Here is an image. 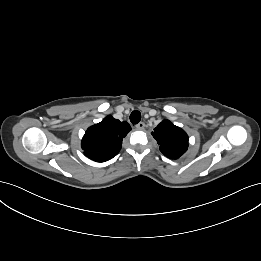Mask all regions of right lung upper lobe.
<instances>
[{"label":"right lung upper lobe","instance_id":"cb5924a9","mask_svg":"<svg viewBox=\"0 0 261 261\" xmlns=\"http://www.w3.org/2000/svg\"><path fill=\"white\" fill-rule=\"evenodd\" d=\"M130 130L127 122H120L109 115L87 129L82 149L88 158L96 162L108 161L119 153L122 140Z\"/></svg>","mask_w":261,"mask_h":261}]
</instances>
